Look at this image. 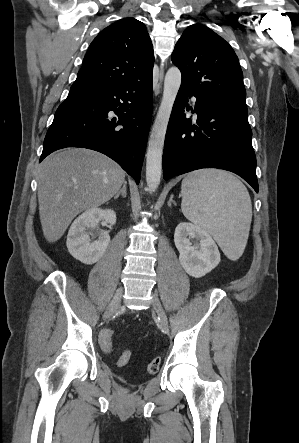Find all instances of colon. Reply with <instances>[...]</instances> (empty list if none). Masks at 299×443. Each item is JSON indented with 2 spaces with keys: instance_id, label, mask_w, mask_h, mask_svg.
Here are the masks:
<instances>
[{
  "instance_id": "5ec220e1",
  "label": "colon",
  "mask_w": 299,
  "mask_h": 443,
  "mask_svg": "<svg viewBox=\"0 0 299 443\" xmlns=\"http://www.w3.org/2000/svg\"><path fill=\"white\" fill-rule=\"evenodd\" d=\"M114 332L110 329H106L101 332L99 340L100 344L106 352H110L112 350V340H113ZM131 360V352L129 350H124L118 359V364L120 366H124L129 363ZM160 368V359L158 357L153 358L147 365V371L149 373H156Z\"/></svg>"
}]
</instances>
